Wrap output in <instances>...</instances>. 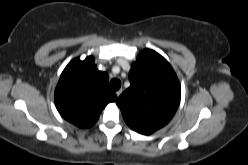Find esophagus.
Returning <instances> with one entry per match:
<instances>
[{
  "instance_id": "34e87169",
  "label": "esophagus",
  "mask_w": 248,
  "mask_h": 165,
  "mask_svg": "<svg viewBox=\"0 0 248 165\" xmlns=\"http://www.w3.org/2000/svg\"><path fill=\"white\" fill-rule=\"evenodd\" d=\"M122 94V89L116 91L117 97H119Z\"/></svg>"
}]
</instances>
